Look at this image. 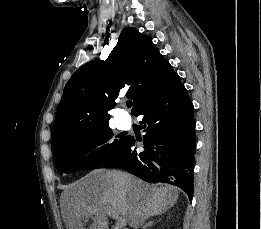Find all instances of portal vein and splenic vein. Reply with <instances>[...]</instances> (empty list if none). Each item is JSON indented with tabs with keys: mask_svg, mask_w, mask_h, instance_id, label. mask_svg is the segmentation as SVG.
Wrapping results in <instances>:
<instances>
[{
	"mask_svg": "<svg viewBox=\"0 0 261 229\" xmlns=\"http://www.w3.org/2000/svg\"><path fill=\"white\" fill-rule=\"evenodd\" d=\"M123 227H126L125 219H118L115 229H123Z\"/></svg>",
	"mask_w": 261,
	"mask_h": 229,
	"instance_id": "18ae733b",
	"label": "portal vein and splenic vein"
}]
</instances>
